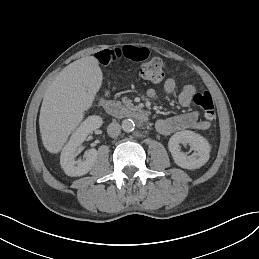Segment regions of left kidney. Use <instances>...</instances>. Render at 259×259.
<instances>
[{
	"mask_svg": "<svg viewBox=\"0 0 259 259\" xmlns=\"http://www.w3.org/2000/svg\"><path fill=\"white\" fill-rule=\"evenodd\" d=\"M180 143L189 144L195 152L187 156L181 152ZM168 148L175 163L185 169H198L203 166L209 160L211 149L204 137L189 130L175 133L168 142Z\"/></svg>",
	"mask_w": 259,
	"mask_h": 259,
	"instance_id": "1",
	"label": "left kidney"
}]
</instances>
